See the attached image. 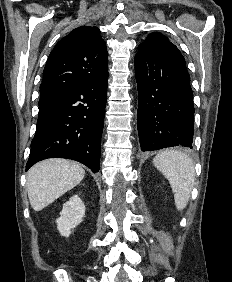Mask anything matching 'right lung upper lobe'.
<instances>
[{
	"label": "right lung upper lobe",
	"instance_id": "cb5924a9",
	"mask_svg": "<svg viewBox=\"0 0 232 282\" xmlns=\"http://www.w3.org/2000/svg\"><path fill=\"white\" fill-rule=\"evenodd\" d=\"M108 74V55L100 30L80 26L51 51L40 85L41 97H61L70 88Z\"/></svg>",
	"mask_w": 232,
	"mask_h": 282
}]
</instances>
